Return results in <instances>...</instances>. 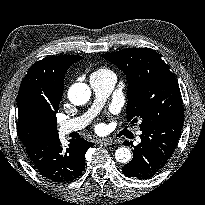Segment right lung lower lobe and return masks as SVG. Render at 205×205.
Masks as SVG:
<instances>
[{
	"label": "right lung lower lobe",
	"instance_id": "obj_1",
	"mask_svg": "<svg viewBox=\"0 0 205 205\" xmlns=\"http://www.w3.org/2000/svg\"><path fill=\"white\" fill-rule=\"evenodd\" d=\"M63 148L59 135L40 138L24 144L36 168L45 178L55 182H69L78 178L85 168L84 156L93 146L83 138L70 140Z\"/></svg>",
	"mask_w": 205,
	"mask_h": 205
}]
</instances>
